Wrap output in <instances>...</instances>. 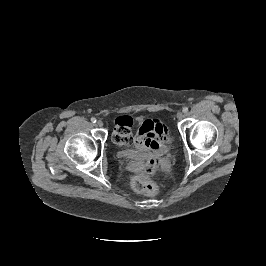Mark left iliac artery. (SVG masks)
I'll return each mask as SVG.
<instances>
[{"label":"left iliac artery","mask_w":266,"mask_h":266,"mask_svg":"<svg viewBox=\"0 0 266 266\" xmlns=\"http://www.w3.org/2000/svg\"><path fill=\"white\" fill-rule=\"evenodd\" d=\"M182 111H183L184 113H187V112H188V107H183Z\"/></svg>","instance_id":"left-iliac-artery-1"}]
</instances>
